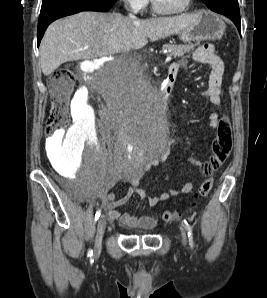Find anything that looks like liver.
<instances>
[{
    "label": "liver",
    "mask_w": 267,
    "mask_h": 298,
    "mask_svg": "<svg viewBox=\"0 0 267 298\" xmlns=\"http://www.w3.org/2000/svg\"><path fill=\"white\" fill-rule=\"evenodd\" d=\"M197 14H181L146 20L121 14L85 11L53 22L40 45V64L49 76L69 61L111 56L120 51L141 49L148 38L157 41L193 26Z\"/></svg>",
    "instance_id": "obj_1"
}]
</instances>
